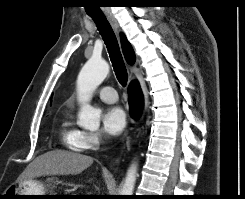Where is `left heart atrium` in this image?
I'll return each mask as SVG.
<instances>
[{
	"instance_id": "1",
	"label": "left heart atrium",
	"mask_w": 245,
	"mask_h": 199,
	"mask_svg": "<svg viewBox=\"0 0 245 199\" xmlns=\"http://www.w3.org/2000/svg\"><path fill=\"white\" fill-rule=\"evenodd\" d=\"M102 124L107 134L112 136L119 135L126 125L124 111L117 106L107 108L103 113Z\"/></svg>"
}]
</instances>
